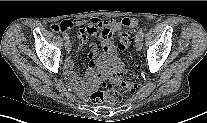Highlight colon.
I'll list each match as a JSON object with an SVG mask.
<instances>
[{
    "label": "colon",
    "mask_w": 207,
    "mask_h": 123,
    "mask_svg": "<svg viewBox=\"0 0 207 123\" xmlns=\"http://www.w3.org/2000/svg\"><path fill=\"white\" fill-rule=\"evenodd\" d=\"M137 27H127L121 34L118 41V48L124 55L125 67L129 68L132 64V41L134 30ZM54 30H58L57 26H53ZM138 82L134 76L130 74H114L109 77L103 84V87L96 90L91 95V100L96 104H115L121 101L122 96L126 93L133 92L137 89Z\"/></svg>",
    "instance_id": "1"
}]
</instances>
